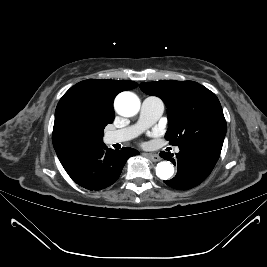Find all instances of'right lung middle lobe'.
<instances>
[{
    "instance_id": "dd1d6c3e",
    "label": "right lung middle lobe",
    "mask_w": 267,
    "mask_h": 267,
    "mask_svg": "<svg viewBox=\"0 0 267 267\" xmlns=\"http://www.w3.org/2000/svg\"><path fill=\"white\" fill-rule=\"evenodd\" d=\"M108 123L111 122L96 119L84 111H76L68 117L67 129L73 137L97 144L103 142V130Z\"/></svg>"
}]
</instances>
